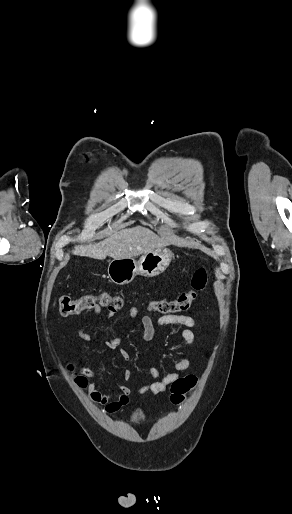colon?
Masks as SVG:
<instances>
[{
	"label": "colon",
	"instance_id": "5ec220e1",
	"mask_svg": "<svg viewBox=\"0 0 292 514\" xmlns=\"http://www.w3.org/2000/svg\"><path fill=\"white\" fill-rule=\"evenodd\" d=\"M207 279L208 270L206 268L197 269L191 278L190 288L187 291L173 300L159 299L151 301L149 304L150 310L163 315L187 312L197 296L204 290ZM59 304L61 314L68 317L77 316L95 308L119 310L124 304V298L121 292L113 294L102 292L98 296L83 295L80 297L62 295ZM71 370L69 368V371ZM198 380L199 375L197 373H183L181 379L172 383L170 392L173 394V401L183 403L184 398L181 394L188 392L190 388L196 385ZM75 381L81 386L84 385V378L80 375L75 374Z\"/></svg>",
	"mask_w": 292,
	"mask_h": 514
}]
</instances>
